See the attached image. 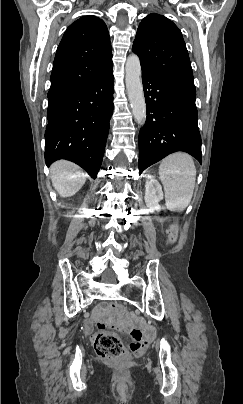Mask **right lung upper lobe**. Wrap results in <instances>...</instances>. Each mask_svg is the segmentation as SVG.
<instances>
[{"label": "right lung upper lobe", "instance_id": "obj_1", "mask_svg": "<svg viewBox=\"0 0 243 404\" xmlns=\"http://www.w3.org/2000/svg\"><path fill=\"white\" fill-rule=\"evenodd\" d=\"M112 48L107 27L88 15L73 22L57 48L48 96L88 84L112 71Z\"/></svg>", "mask_w": 243, "mask_h": 404}]
</instances>
